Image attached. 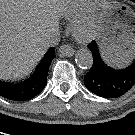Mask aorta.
Listing matches in <instances>:
<instances>
[{
  "instance_id": "762f6f07",
  "label": "aorta",
  "mask_w": 135,
  "mask_h": 135,
  "mask_svg": "<svg viewBox=\"0 0 135 135\" xmlns=\"http://www.w3.org/2000/svg\"><path fill=\"white\" fill-rule=\"evenodd\" d=\"M75 62L82 69H90L93 65V57L90 50L81 48L75 54Z\"/></svg>"
}]
</instances>
